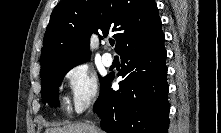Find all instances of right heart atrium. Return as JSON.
I'll return each instance as SVG.
<instances>
[{"label": "right heart atrium", "mask_w": 221, "mask_h": 133, "mask_svg": "<svg viewBox=\"0 0 221 133\" xmlns=\"http://www.w3.org/2000/svg\"><path fill=\"white\" fill-rule=\"evenodd\" d=\"M69 90V106L82 113L98 101V80L95 72L85 63L69 68L64 75Z\"/></svg>", "instance_id": "d8ad5b80"}]
</instances>
